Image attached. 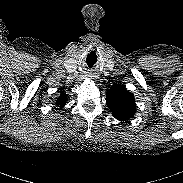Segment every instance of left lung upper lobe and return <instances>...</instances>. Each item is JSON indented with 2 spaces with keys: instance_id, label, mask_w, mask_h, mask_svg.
<instances>
[{
  "instance_id": "obj_1",
  "label": "left lung upper lobe",
  "mask_w": 183,
  "mask_h": 183,
  "mask_svg": "<svg viewBox=\"0 0 183 183\" xmlns=\"http://www.w3.org/2000/svg\"><path fill=\"white\" fill-rule=\"evenodd\" d=\"M106 104L113 116L119 121L127 122L136 112V103L133 93L125 86L114 84L106 92Z\"/></svg>"
}]
</instances>
